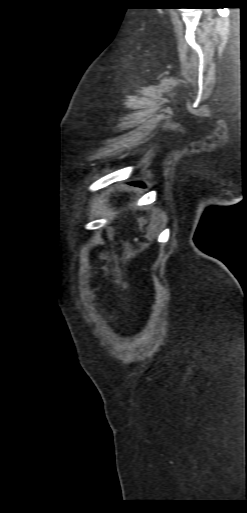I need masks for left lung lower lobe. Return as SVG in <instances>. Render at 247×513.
I'll return each mask as SVG.
<instances>
[{"label": "left lung lower lobe", "instance_id": "obj_1", "mask_svg": "<svg viewBox=\"0 0 247 513\" xmlns=\"http://www.w3.org/2000/svg\"><path fill=\"white\" fill-rule=\"evenodd\" d=\"M134 185L143 187L141 183H134Z\"/></svg>", "mask_w": 247, "mask_h": 513}]
</instances>
